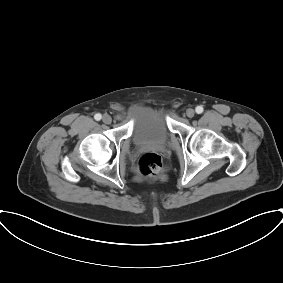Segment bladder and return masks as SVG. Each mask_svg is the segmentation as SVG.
I'll return each mask as SVG.
<instances>
[{
    "instance_id": "1",
    "label": "bladder",
    "mask_w": 283,
    "mask_h": 283,
    "mask_svg": "<svg viewBox=\"0 0 283 283\" xmlns=\"http://www.w3.org/2000/svg\"><path fill=\"white\" fill-rule=\"evenodd\" d=\"M132 137L138 145H162L171 135L166 106L138 105L130 111Z\"/></svg>"
}]
</instances>
